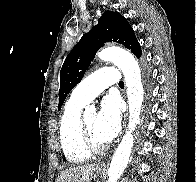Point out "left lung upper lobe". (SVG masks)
<instances>
[{"instance_id":"1","label":"left lung upper lobe","mask_w":196,"mask_h":182,"mask_svg":"<svg viewBox=\"0 0 196 182\" xmlns=\"http://www.w3.org/2000/svg\"><path fill=\"white\" fill-rule=\"evenodd\" d=\"M112 41L123 44L140 58V44L126 18L119 12L105 11L98 24L82 36L64 61L60 71L58 110L61 109L67 94L82 80L98 49L104 46V43Z\"/></svg>"}]
</instances>
